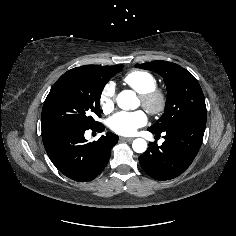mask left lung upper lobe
<instances>
[{"label":"left lung upper lobe","instance_id":"5c2ea615","mask_svg":"<svg viewBox=\"0 0 236 236\" xmlns=\"http://www.w3.org/2000/svg\"><path fill=\"white\" fill-rule=\"evenodd\" d=\"M135 67L150 69L160 74L167 87L165 112L148 130L161 133L181 121L206 118L202 89L195 77L186 69L161 60L136 64Z\"/></svg>","mask_w":236,"mask_h":236}]
</instances>
